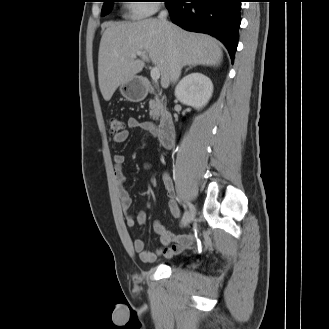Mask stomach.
Segmentation results:
<instances>
[{
	"mask_svg": "<svg viewBox=\"0 0 329 329\" xmlns=\"http://www.w3.org/2000/svg\"><path fill=\"white\" fill-rule=\"evenodd\" d=\"M120 92L126 100L140 102L146 97L148 87L142 77L134 76L128 82L120 85Z\"/></svg>",
	"mask_w": 329,
	"mask_h": 329,
	"instance_id": "0dacf381",
	"label": "stomach"
}]
</instances>
